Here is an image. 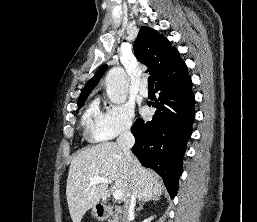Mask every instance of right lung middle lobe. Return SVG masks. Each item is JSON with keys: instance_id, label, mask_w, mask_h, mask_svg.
I'll list each match as a JSON object with an SVG mask.
<instances>
[{"instance_id": "dd1d6c3e", "label": "right lung middle lobe", "mask_w": 257, "mask_h": 222, "mask_svg": "<svg viewBox=\"0 0 257 222\" xmlns=\"http://www.w3.org/2000/svg\"><path fill=\"white\" fill-rule=\"evenodd\" d=\"M84 102H85V100H83L82 102H80V103L78 104L79 108H81V107L84 105Z\"/></svg>"}]
</instances>
